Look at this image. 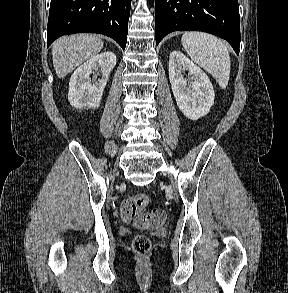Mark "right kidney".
<instances>
[{
  "label": "right kidney",
  "instance_id": "ca27d5eb",
  "mask_svg": "<svg viewBox=\"0 0 288 293\" xmlns=\"http://www.w3.org/2000/svg\"><path fill=\"white\" fill-rule=\"evenodd\" d=\"M115 65L116 55L107 51L90 58L78 67L69 82L70 104L78 110L98 108L109 74ZM91 73L101 75V78L91 80Z\"/></svg>",
  "mask_w": 288,
  "mask_h": 293
}]
</instances>
